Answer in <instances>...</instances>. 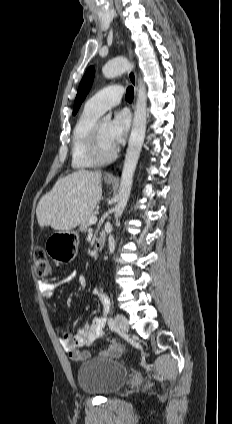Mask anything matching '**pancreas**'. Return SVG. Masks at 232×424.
I'll return each instance as SVG.
<instances>
[{
	"label": "pancreas",
	"mask_w": 232,
	"mask_h": 424,
	"mask_svg": "<svg viewBox=\"0 0 232 424\" xmlns=\"http://www.w3.org/2000/svg\"><path fill=\"white\" fill-rule=\"evenodd\" d=\"M91 217H95V214L94 213H91L88 217H86L84 219V221L81 223L80 228H79V230L81 232H86L87 231V229L91 225L90 222H89V220H90Z\"/></svg>",
	"instance_id": "obj_1"
}]
</instances>
